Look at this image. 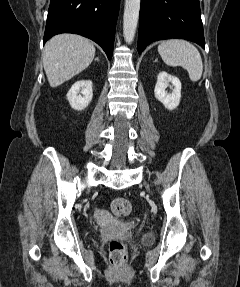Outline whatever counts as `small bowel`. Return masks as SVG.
<instances>
[{"label":"small bowel","mask_w":240,"mask_h":287,"mask_svg":"<svg viewBox=\"0 0 240 287\" xmlns=\"http://www.w3.org/2000/svg\"><path fill=\"white\" fill-rule=\"evenodd\" d=\"M97 217L99 218H108L109 214L105 210H97L96 212Z\"/></svg>","instance_id":"1"}]
</instances>
